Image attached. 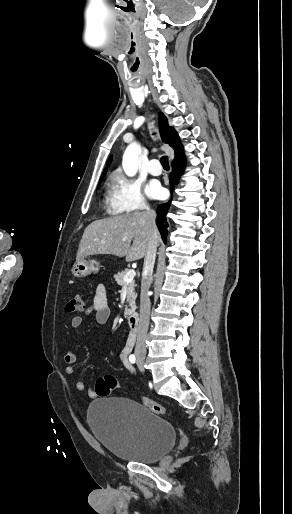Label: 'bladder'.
<instances>
[{
  "mask_svg": "<svg viewBox=\"0 0 292 514\" xmlns=\"http://www.w3.org/2000/svg\"><path fill=\"white\" fill-rule=\"evenodd\" d=\"M87 422L98 442L124 461L155 462L168 454L177 441L171 422L127 398L92 401Z\"/></svg>",
  "mask_w": 292,
  "mask_h": 514,
  "instance_id": "bladder-1",
  "label": "bladder"
}]
</instances>
